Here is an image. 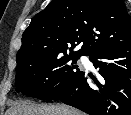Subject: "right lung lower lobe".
<instances>
[{
    "label": "right lung lower lobe",
    "instance_id": "98d812e1",
    "mask_svg": "<svg viewBox=\"0 0 131 115\" xmlns=\"http://www.w3.org/2000/svg\"><path fill=\"white\" fill-rule=\"evenodd\" d=\"M100 81L86 82L82 72L56 100L90 115H131V45L90 56Z\"/></svg>",
    "mask_w": 131,
    "mask_h": 115
}]
</instances>
